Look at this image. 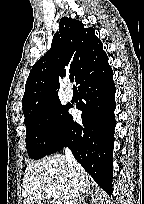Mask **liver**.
Listing matches in <instances>:
<instances>
[{
  "mask_svg": "<svg viewBox=\"0 0 144 204\" xmlns=\"http://www.w3.org/2000/svg\"><path fill=\"white\" fill-rule=\"evenodd\" d=\"M79 165V164H78ZM68 162L61 154L31 162L25 169L22 185L23 204H39L45 196V187H56L64 200L72 189L68 174ZM76 177L82 188H90L92 183L88 173L79 165ZM60 204H64L60 203Z\"/></svg>",
  "mask_w": 144,
  "mask_h": 204,
  "instance_id": "liver-1",
  "label": "liver"
}]
</instances>
